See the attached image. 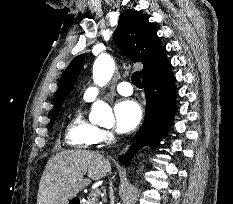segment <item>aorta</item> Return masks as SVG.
<instances>
[{
    "instance_id": "aorta-1",
    "label": "aorta",
    "mask_w": 233,
    "mask_h": 204,
    "mask_svg": "<svg viewBox=\"0 0 233 204\" xmlns=\"http://www.w3.org/2000/svg\"><path fill=\"white\" fill-rule=\"evenodd\" d=\"M115 70L114 60L107 54L100 55L93 65V79L97 85L104 86L112 78ZM89 119L92 123L107 125L114 123L111 107L102 100L92 105Z\"/></svg>"
}]
</instances>
